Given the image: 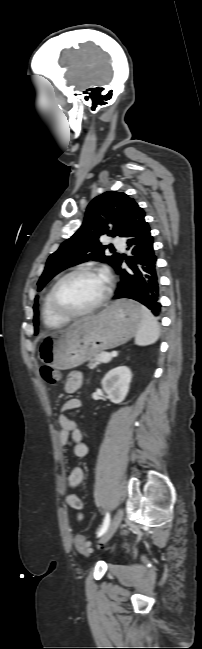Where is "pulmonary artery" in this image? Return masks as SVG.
<instances>
[{
	"label": "pulmonary artery",
	"mask_w": 202,
	"mask_h": 649,
	"mask_svg": "<svg viewBox=\"0 0 202 649\" xmlns=\"http://www.w3.org/2000/svg\"><path fill=\"white\" fill-rule=\"evenodd\" d=\"M112 243H113V245H115V246L118 247V248H121V249L124 248V243H123V241H122L120 238H118V237L113 238V239H112Z\"/></svg>",
	"instance_id": "1"
}]
</instances>
